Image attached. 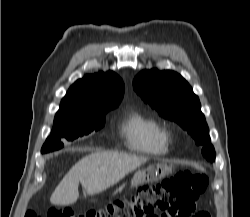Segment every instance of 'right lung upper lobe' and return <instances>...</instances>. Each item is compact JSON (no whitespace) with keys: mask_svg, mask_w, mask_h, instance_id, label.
Segmentation results:
<instances>
[{"mask_svg":"<svg viewBox=\"0 0 250 217\" xmlns=\"http://www.w3.org/2000/svg\"><path fill=\"white\" fill-rule=\"evenodd\" d=\"M123 93L124 84L112 71L86 75L69 88L54 121L88 118L108 112L118 106Z\"/></svg>","mask_w":250,"mask_h":217,"instance_id":"obj_1","label":"right lung upper lobe"}]
</instances>
